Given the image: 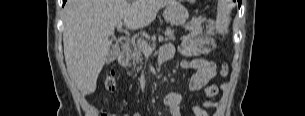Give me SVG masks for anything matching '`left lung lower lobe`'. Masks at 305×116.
<instances>
[{
  "instance_id": "0a47b994",
  "label": "left lung lower lobe",
  "mask_w": 305,
  "mask_h": 116,
  "mask_svg": "<svg viewBox=\"0 0 305 116\" xmlns=\"http://www.w3.org/2000/svg\"><path fill=\"white\" fill-rule=\"evenodd\" d=\"M238 2H239V4H240V3H241V0H239Z\"/></svg>"
}]
</instances>
